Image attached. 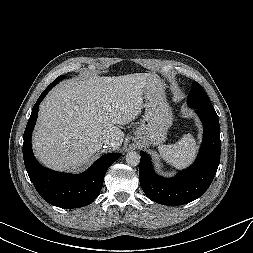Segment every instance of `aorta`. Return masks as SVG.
<instances>
[{
  "instance_id": "obj_1",
  "label": "aorta",
  "mask_w": 253,
  "mask_h": 253,
  "mask_svg": "<svg viewBox=\"0 0 253 253\" xmlns=\"http://www.w3.org/2000/svg\"><path fill=\"white\" fill-rule=\"evenodd\" d=\"M140 154L136 151H129L127 154H126V163L129 165V166H132V167H135L137 166L139 163H140Z\"/></svg>"
}]
</instances>
